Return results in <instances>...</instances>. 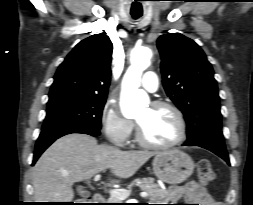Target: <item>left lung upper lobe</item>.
<instances>
[{
	"label": "left lung upper lobe",
	"instance_id": "1",
	"mask_svg": "<svg viewBox=\"0 0 253 205\" xmlns=\"http://www.w3.org/2000/svg\"><path fill=\"white\" fill-rule=\"evenodd\" d=\"M157 46L165 91L187 122L185 144L210 138L223 141L217 84L203 50L180 33L160 36Z\"/></svg>",
	"mask_w": 253,
	"mask_h": 205
}]
</instances>
